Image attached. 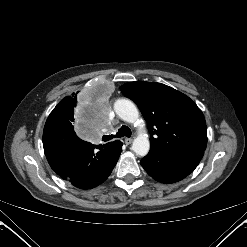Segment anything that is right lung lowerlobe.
Instances as JSON below:
<instances>
[{"label":"right lung lower lobe","instance_id":"right-lung-lower-lobe-1","mask_svg":"<svg viewBox=\"0 0 247 247\" xmlns=\"http://www.w3.org/2000/svg\"><path fill=\"white\" fill-rule=\"evenodd\" d=\"M43 147L51 168L62 179L77 188L91 189L110 175L122 151V142L93 145L78 138L74 127L47 121Z\"/></svg>","mask_w":247,"mask_h":247}]
</instances>
